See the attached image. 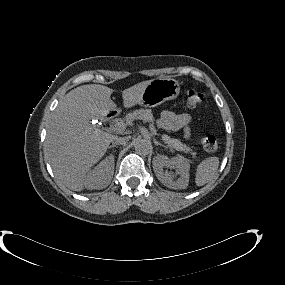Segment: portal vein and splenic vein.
Returning <instances> with one entry per match:
<instances>
[{"instance_id":"portal-vein-and-splenic-vein-1","label":"portal vein and splenic vein","mask_w":285,"mask_h":285,"mask_svg":"<svg viewBox=\"0 0 285 285\" xmlns=\"http://www.w3.org/2000/svg\"><path fill=\"white\" fill-rule=\"evenodd\" d=\"M126 128V124L125 123H117L114 125V130L117 131V132H122L124 131Z\"/></svg>"}]
</instances>
